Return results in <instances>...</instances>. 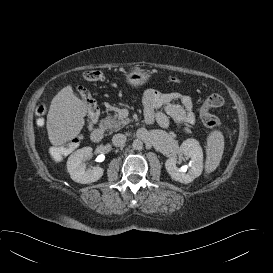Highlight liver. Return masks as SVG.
Instances as JSON below:
<instances>
[{"label":"liver","instance_id":"1","mask_svg":"<svg viewBox=\"0 0 273 273\" xmlns=\"http://www.w3.org/2000/svg\"><path fill=\"white\" fill-rule=\"evenodd\" d=\"M87 114L85 103L76 97L71 87L63 88L52 99L46 128L52 145H63L81 132Z\"/></svg>","mask_w":273,"mask_h":273}]
</instances>
